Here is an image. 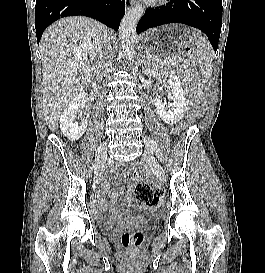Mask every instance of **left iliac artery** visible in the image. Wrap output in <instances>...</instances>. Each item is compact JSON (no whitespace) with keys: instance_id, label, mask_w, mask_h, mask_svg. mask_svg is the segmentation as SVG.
<instances>
[{"instance_id":"obj_1","label":"left iliac artery","mask_w":265,"mask_h":273,"mask_svg":"<svg viewBox=\"0 0 265 273\" xmlns=\"http://www.w3.org/2000/svg\"><path fill=\"white\" fill-rule=\"evenodd\" d=\"M146 145L149 146V148L152 152L154 151L157 154L158 158H161V153H160L159 149L157 148V146L154 147V145L151 142H147Z\"/></svg>"}]
</instances>
